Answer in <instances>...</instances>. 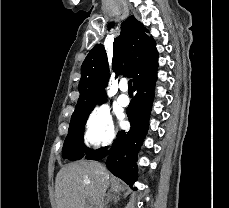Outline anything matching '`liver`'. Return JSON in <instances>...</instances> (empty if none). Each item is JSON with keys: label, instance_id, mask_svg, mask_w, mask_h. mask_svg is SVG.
<instances>
[{"label": "liver", "instance_id": "obj_1", "mask_svg": "<svg viewBox=\"0 0 229 208\" xmlns=\"http://www.w3.org/2000/svg\"><path fill=\"white\" fill-rule=\"evenodd\" d=\"M120 182L98 162L80 160L77 164H66L55 180L57 208H99L103 186H110V192L117 194L125 190Z\"/></svg>", "mask_w": 229, "mask_h": 208}]
</instances>
